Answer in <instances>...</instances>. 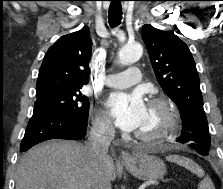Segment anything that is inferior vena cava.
<instances>
[{
  "mask_svg": "<svg viewBox=\"0 0 223 189\" xmlns=\"http://www.w3.org/2000/svg\"><path fill=\"white\" fill-rule=\"evenodd\" d=\"M114 136V127L109 123H93L86 144V150L95 165L92 189H111L110 179L106 176L105 167L109 160L108 149Z\"/></svg>",
  "mask_w": 223,
  "mask_h": 189,
  "instance_id": "obj_1",
  "label": "inferior vena cava"
}]
</instances>
